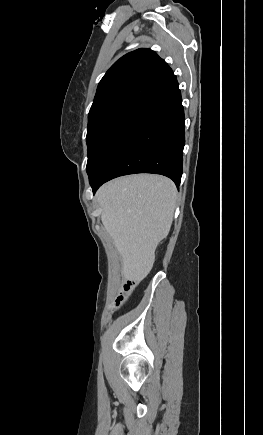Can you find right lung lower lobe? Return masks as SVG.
<instances>
[{
	"mask_svg": "<svg viewBox=\"0 0 263 435\" xmlns=\"http://www.w3.org/2000/svg\"><path fill=\"white\" fill-rule=\"evenodd\" d=\"M185 118L177 79L150 98L129 122L96 175L93 193L106 181L134 173L161 174L180 184Z\"/></svg>",
	"mask_w": 263,
	"mask_h": 435,
	"instance_id": "1",
	"label": "right lung lower lobe"
}]
</instances>
